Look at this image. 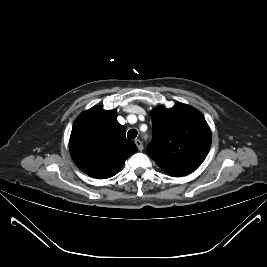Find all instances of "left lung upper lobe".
<instances>
[{
  "label": "left lung upper lobe",
  "mask_w": 267,
  "mask_h": 267,
  "mask_svg": "<svg viewBox=\"0 0 267 267\" xmlns=\"http://www.w3.org/2000/svg\"><path fill=\"white\" fill-rule=\"evenodd\" d=\"M150 115L153 129L147 147L150 157L173 177L196 170L211 145V131L203 115L183 103L171 109L159 106Z\"/></svg>",
  "instance_id": "left-lung-upper-lobe-1"
}]
</instances>
